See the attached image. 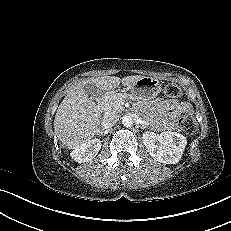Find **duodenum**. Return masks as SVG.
<instances>
[{
	"mask_svg": "<svg viewBox=\"0 0 231 231\" xmlns=\"http://www.w3.org/2000/svg\"><path fill=\"white\" fill-rule=\"evenodd\" d=\"M100 101H101V99L99 97H93L91 99V103H92L93 108L97 109L99 107Z\"/></svg>",
	"mask_w": 231,
	"mask_h": 231,
	"instance_id": "duodenum-1",
	"label": "duodenum"
}]
</instances>
